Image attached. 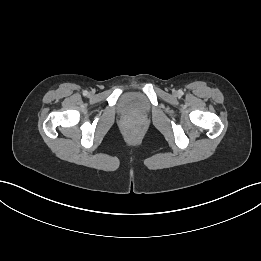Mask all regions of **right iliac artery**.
<instances>
[{"mask_svg": "<svg viewBox=\"0 0 261 261\" xmlns=\"http://www.w3.org/2000/svg\"><path fill=\"white\" fill-rule=\"evenodd\" d=\"M83 95H84V96L88 95V92H87V91H84V92H83Z\"/></svg>", "mask_w": 261, "mask_h": 261, "instance_id": "82829eb1", "label": "right iliac artery"}]
</instances>
